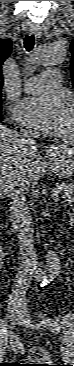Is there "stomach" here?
Returning a JSON list of instances; mask_svg holds the SVG:
<instances>
[{"mask_svg":"<svg viewBox=\"0 0 74 366\" xmlns=\"http://www.w3.org/2000/svg\"><path fill=\"white\" fill-rule=\"evenodd\" d=\"M54 170L61 176H70L73 172V157L68 152L58 151L50 155Z\"/></svg>","mask_w":74,"mask_h":366,"instance_id":"1","label":"stomach"}]
</instances>
